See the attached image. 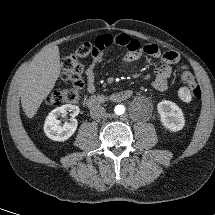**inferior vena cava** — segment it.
I'll return each mask as SVG.
<instances>
[{"instance_id":"1","label":"inferior vena cava","mask_w":215,"mask_h":215,"mask_svg":"<svg viewBox=\"0 0 215 215\" xmlns=\"http://www.w3.org/2000/svg\"><path fill=\"white\" fill-rule=\"evenodd\" d=\"M90 115L93 119H101L106 116V110L102 105H94L90 109Z\"/></svg>"}]
</instances>
